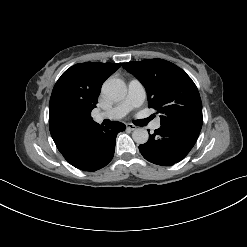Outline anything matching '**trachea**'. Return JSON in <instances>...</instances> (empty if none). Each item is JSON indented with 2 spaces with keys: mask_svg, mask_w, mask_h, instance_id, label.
Segmentation results:
<instances>
[{
  "mask_svg": "<svg viewBox=\"0 0 247 247\" xmlns=\"http://www.w3.org/2000/svg\"><path fill=\"white\" fill-rule=\"evenodd\" d=\"M151 119H153L152 116H150L149 118L145 119V122H148V121H150Z\"/></svg>",
  "mask_w": 247,
  "mask_h": 247,
  "instance_id": "1",
  "label": "trachea"
}]
</instances>
